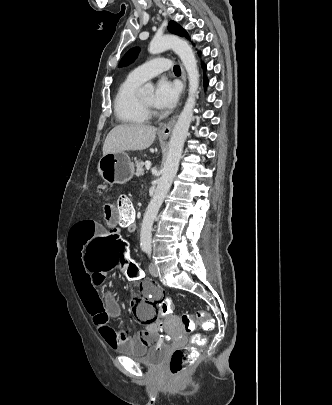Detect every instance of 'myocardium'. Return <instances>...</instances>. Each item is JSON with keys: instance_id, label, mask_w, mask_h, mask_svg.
<instances>
[{"instance_id": "f54148a6", "label": "myocardium", "mask_w": 332, "mask_h": 405, "mask_svg": "<svg viewBox=\"0 0 332 405\" xmlns=\"http://www.w3.org/2000/svg\"><path fill=\"white\" fill-rule=\"evenodd\" d=\"M139 100H140V103H141L143 109L146 111V113H147L149 116H152V115L155 114V110H154V107H153L152 105H149V104L145 103V102L142 100V98H139Z\"/></svg>"}]
</instances>
